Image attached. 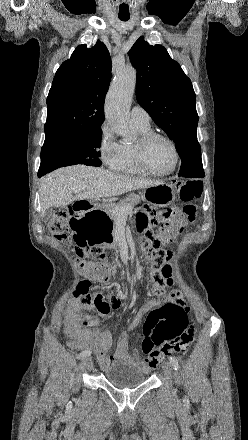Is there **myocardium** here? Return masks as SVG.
Masks as SVG:
<instances>
[{"label":"myocardium","instance_id":"obj_1","mask_svg":"<svg viewBox=\"0 0 248 440\" xmlns=\"http://www.w3.org/2000/svg\"><path fill=\"white\" fill-rule=\"evenodd\" d=\"M155 139H163V140L167 141L172 147V150L174 153V162H173L172 167L168 171L155 172L148 167L147 160H146V153H147L148 146ZM134 159H135V163H136L137 168L139 169V171L142 174L152 176V177H166V176H169L172 173H174L175 170L177 169V166H178L179 160H180V154H179L177 144L175 143V141L171 137H169L168 135L163 134V133L150 131V132L141 134L140 137L138 138V140L136 141V143L134 144Z\"/></svg>","mask_w":248,"mask_h":440}]
</instances>
